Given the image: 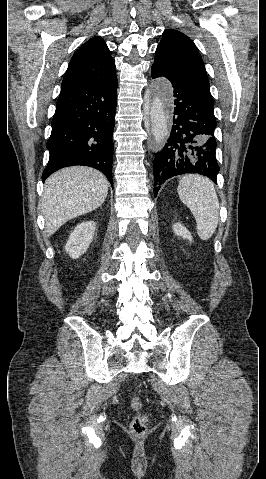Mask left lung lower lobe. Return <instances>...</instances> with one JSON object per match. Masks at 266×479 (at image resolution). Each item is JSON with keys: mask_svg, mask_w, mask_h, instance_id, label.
Masks as SVG:
<instances>
[{"mask_svg": "<svg viewBox=\"0 0 266 479\" xmlns=\"http://www.w3.org/2000/svg\"><path fill=\"white\" fill-rule=\"evenodd\" d=\"M152 78L166 77L172 84L174 97L173 126L165 147L154 159V195L169 178L198 173L217 183L219 166L216 160L213 100L189 86L173 80L157 67L151 68Z\"/></svg>", "mask_w": 266, "mask_h": 479, "instance_id": "1", "label": "left lung lower lobe"}]
</instances>
